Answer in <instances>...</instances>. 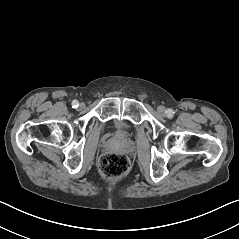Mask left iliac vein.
<instances>
[{"label":"left iliac vein","mask_w":239,"mask_h":239,"mask_svg":"<svg viewBox=\"0 0 239 239\" xmlns=\"http://www.w3.org/2000/svg\"><path fill=\"white\" fill-rule=\"evenodd\" d=\"M157 111H158L162 116H165V115H166V112H167V110H166V108H165L164 106H159V107L157 108Z\"/></svg>","instance_id":"left-iliac-vein-1"}]
</instances>
